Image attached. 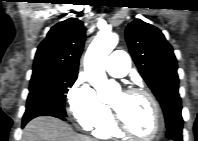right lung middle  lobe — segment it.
<instances>
[{
	"instance_id": "dd1d6c3e",
	"label": "right lung middle lobe",
	"mask_w": 198,
	"mask_h": 141,
	"mask_svg": "<svg viewBox=\"0 0 198 141\" xmlns=\"http://www.w3.org/2000/svg\"><path fill=\"white\" fill-rule=\"evenodd\" d=\"M77 76L78 74L60 72L33 74L23 119L30 118L31 109H46L66 116L64 109L66 93L76 81Z\"/></svg>"
}]
</instances>
